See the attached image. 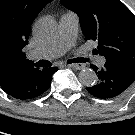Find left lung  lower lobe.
I'll list each match as a JSON object with an SVG mask.
<instances>
[{"label":"left lung lower lobe","instance_id":"left-lung-lower-lobe-1","mask_svg":"<svg viewBox=\"0 0 135 135\" xmlns=\"http://www.w3.org/2000/svg\"><path fill=\"white\" fill-rule=\"evenodd\" d=\"M96 72L98 81L95 85L88 87L87 91L100 99H109L118 96L125 91L134 81L135 76L110 65H104L98 69L95 65H90Z\"/></svg>","mask_w":135,"mask_h":135}]
</instances>
